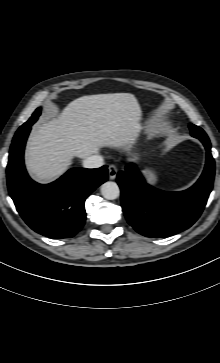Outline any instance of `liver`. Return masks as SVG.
I'll return each instance as SVG.
<instances>
[{"instance_id": "6515ba94", "label": "liver", "mask_w": 220, "mask_h": 363, "mask_svg": "<svg viewBox=\"0 0 220 363\" xmlns=\"http://www.w3.org/2000/svg\"><path fill=\"white\" fill-rule=\"evenodd\" d=\"M142 111L133 94L110 93L79 97L61 113L32 131L26 166L40 183L63 175L72 159H86L102 147L129 148L142 129Z\"/></svg>"}]
</instances>
